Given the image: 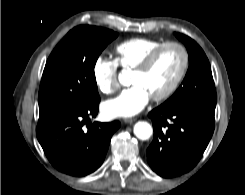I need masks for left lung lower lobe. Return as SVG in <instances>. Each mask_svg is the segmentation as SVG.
<instances>
[{"mask_svg": "<svg viewBox=\"0 0 245 195\" xmlns=\"http://www.w3.org/2000/svg\"><path fill=\"white\" fill-rule=\"evenodd\" d=\"M215 109L160 105L152 110L154 139L147 149L150 167L171 178L191 170L202 157L214 132Z\"/></svg>", "mask_w": 245, "mask_h": 195, "instance_id": "obj_1", "label": "left lung lower lobe"}]
</instances>
